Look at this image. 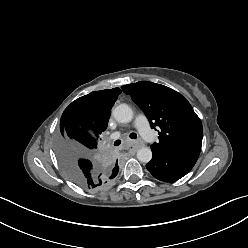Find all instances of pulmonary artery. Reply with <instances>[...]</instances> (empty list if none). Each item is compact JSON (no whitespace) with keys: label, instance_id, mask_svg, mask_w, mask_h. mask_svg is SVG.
<instances>
[{"label":"pulmonary artery","instance_id":"obj_1","mask_svg":"<svg viewBox=\"0 0 248 248\" xmlns=\"http://www.w3.org/2000/svg\"><path fill=\"white\" fill-rule=\"evenodd\" d=\"M134 125L143 137V139L146 141H150L152 133L146 116L143 114L138 115L135 119ZM119 136L120 132H116L112 135V138H117Z\"/></svg>","mask_w":248,"mask_h":248}]
</instances>
